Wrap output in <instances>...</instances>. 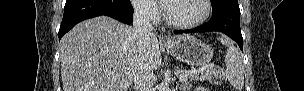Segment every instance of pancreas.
Returning a JSON list of instances; mask_svg holds the SVG:
<instances>
[{"label": "pancreas", "mask_w": 304, "mask_h": 91, "mask_svg": "<svg viewBox=\"0 0 304 91\" xmlns=\"http://www.w3.org/2000/svg\"><path fill=\"white\" fill-rule=\"evenodd\" d=\"M180 73H184L185 70H179ZM188 78L192 81H204L208 80L212 82L214 78H222V70L220 68L215 67H207L203 71H196L188 76Z\"/></svg>", "instance_id": "pancreas-1"}]
</instances>
